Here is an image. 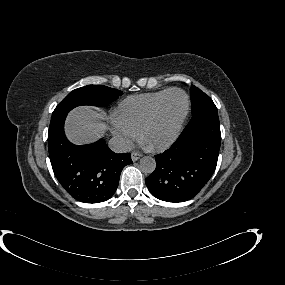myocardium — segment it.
<instances>
[{"mask_svg": "<svg viewBox=\"0 0 285 285\" xmlns=\"http://www.w3.org/2000/svg\"><path fill=\"white\" fill-rule=\"evenodd\" d=\"M181 92L184 96H185V99H186V107H185V110H184V113L182 114L179 122H178V125H177V128H176V131L175 133L173 134V136L171 138H169L168 140L164 141V142H161V143H158V144H155V145H148L144 142V135L145 133L153 126V124L159 119L160 115H161V112L163 110V107H164V104L168 98V96L172 93V92ZM189 110H190V98L188 96V94L186 93V91H184L183 89L181 88H170L164 95L163 97L159 100V102L157 103V105L155 106L152 114L150 115V117L147 119V121L144 123V125L141 127L139 133H138V136H139V140L147 147L149 148L150 150H159V149H164V148H167L169 147L170 145H172L176 140L177 138L179 137L180 133H181V130L185 124V121L188 117V114H189Z\"/></svg>", "mask_w": 285, "mask_h": 285, "instance_id": "myocardium-1", "label": "myocardium"}]
</instances>
